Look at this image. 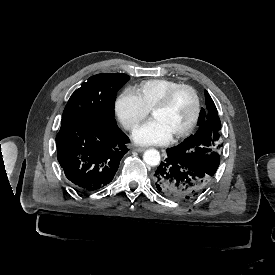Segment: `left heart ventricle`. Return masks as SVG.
I'll return each instance as SVG.
<instances>
[{
	"label": "left heart ventricle",
	"instance_id": "1",
	"mask_svg": "<svg viewBox=\"0 0 275 275\" xmlns=\"http://www.w3.org/2000/svg\"><path fill=\"white\" fill-rule=\"evenodd\" d=\"M195 103L191 92L182 88L176 91L169 104L152 116L171 136L180 132L190 122Z\"/></svg>",
	"mask_w": 275,
	"mask_h": 275
}]
</instances>
